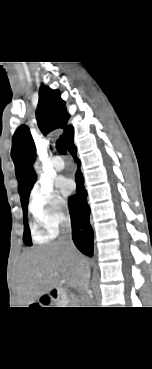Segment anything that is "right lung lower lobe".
I'll list each match as a JSON object with an SVG mask.
<instances>
[{
    "instance_id": "obj_1",
    "label": "right lung lower lobe",
    "mask_w": 152,
    "mask_h": 369,
    "mask_svg": "<svg viewBox=\"0 0 152 369\" xmlns=\"http://www.w3.org/2000/svg\"><path fill=\"white\" fill-rule=\"evenodd\" d=\"M68 151L78 163L76 172L77 191L69 197V212L72 223V238L76 247L85 255H93V232L89 222L90 209L87 204V191L84 188V179L80 171V161L76 157V147L73 140L67 144Z\"/></svg>"
}]
</instances>
